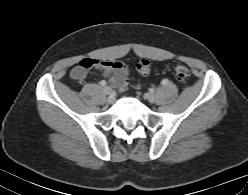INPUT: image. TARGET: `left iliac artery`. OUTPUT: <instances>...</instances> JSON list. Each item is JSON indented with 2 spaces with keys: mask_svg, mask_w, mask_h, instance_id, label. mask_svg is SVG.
<instances>
[{
  "mask_svg": "<svg viewBox=\"0 0 248 195\" xmlns=\"http://www.w3.org/2000/svg\"><path fill=\"white\" fill-rule=\"evenodd\" d=\"M162 85H166L168 84V80L167 79H163L162 82H161Z\"/></svg>",
  "mask_w": 248,
  "mask_h": 195,
  "instance_id": "44dca946",
  "label": "left iliac artery"
}]
</instances>
